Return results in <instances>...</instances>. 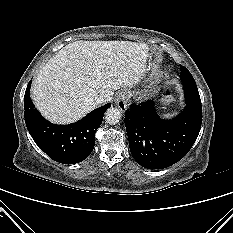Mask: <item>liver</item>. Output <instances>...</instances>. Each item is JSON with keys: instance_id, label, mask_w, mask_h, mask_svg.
<instances>
[{"instance_id": "1", "label": "liver", "mask_w": 233, "mask_h": 233, "mask_svg": "<svg viewBox=\"0 0 233 233\" xmlns=\"http://www.w3.org/2000/svg\"><path fill=\"white\" fill-rule=\"evenodd\" d=\"M149 46L131 41H75L54 55L35 78L31 94L49 121L73 123L110 101L114 91L132 88L146 72Z\"/></svg>"}]
</instances>
